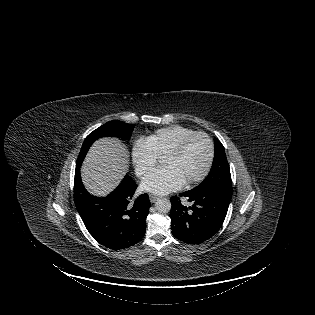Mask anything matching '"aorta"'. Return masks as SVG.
Here are the masks:
<instances>
[{
  "mask_svg": "<svg viewBox=\"0 0 315 315\" xmlns=\"http://www.w3.org/2000/svg\"><path fill=\"white\" fill-rule=\"evenodd\" d=\"M155 208L160 213H168L171 210V202L167 198H160L156 201Z\"/></svg>",
  "mask_w": 315,
  "mask_h": 315,
  "instance_id": "762f6f07",
  "label": "aorta"
}]
</instances>
